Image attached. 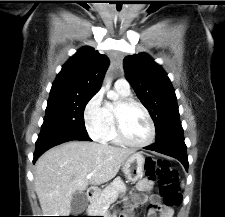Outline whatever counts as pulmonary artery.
<instances>
[{"label":"pulmonary artery","mask_w":225,"mask_h":217,"mask_svg":"<svg viewBox=\"0 0 225 217\" xmlns=\"http://www.w3.org/2000/svg\"><path fill=\"white\" fill-rule=\"evenodd\" d=\"M115 88L122 92L130 93V84L124 78H120L115 82Z\"/></svg>","instance_id":"pulmonary-artery-1"}]
</instances>
